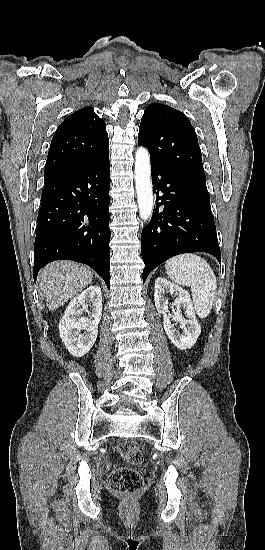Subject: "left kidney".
<instances>
[{
  "instance_id": "5707ae66",
  "label": "left kidney",
  "mask_w": 265,
  "mask_h": 550,
  "mask_svg": "<svg viewBox=\"0 0 265 550\" xmlns=\"http://www.w3.org/2000/svg\"><path fill=\"white\" fill-rule=\"evenodd\" d=\"M165 293L176 296L174 300L176 312L174 315L169 313L168 300L164 297ZM154 300L158 313L163 315L164 330L171 342L182 350L191 348L201 333V327L196 319L188 291L159 277L155 280ZM181 308L185 309L188 319H184L182 316ZM172 321L181 325L182 332L175 329Z\"/></svg>"
}]
</instances>
